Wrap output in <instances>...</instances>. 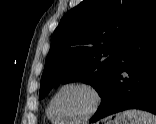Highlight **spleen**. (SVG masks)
<instances>
[{"mask_svg":"<svg viewBox=\"0 0 156 124\" xmlns=\"http://www.w3.org/2000/svg\"><path fill=\"white\" fill-rule=\"evenodd\" d=\"M122 116L131 124H156V116L145 111L130 109L124 111Z\"/></svg>","mask_w":156,"mask_h":124,"instance_id":"spleen-1","label":"spleen"}]
</instances>
